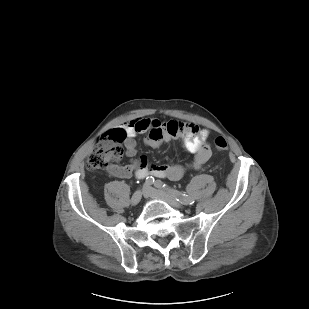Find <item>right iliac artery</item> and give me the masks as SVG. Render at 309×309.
I'll use <instances>...</instances> for the list:
<instances>
[{"instance_id": "82829eb1", "label": "right iliac artery", "mask_w": 309, "mask_h": 309, "mask_svg": "<svg viewBox=\"0 0 309 309\" xmlns=\"http://www.w3.org/2000/svg\"><path fill=\"white\" fill-rule=\"evenodd\" d=\"M154 183V178L152 176L146 177L145 184L146 185H152Z\"/></svg>"}]
</instances>
